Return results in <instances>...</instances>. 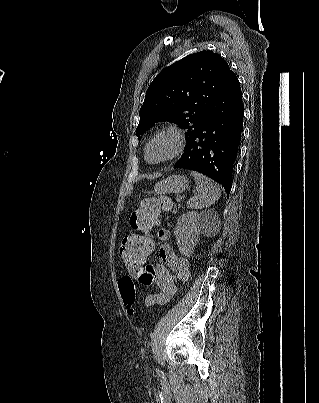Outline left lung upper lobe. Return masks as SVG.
<instances>
[{"label":"left lung upper lobe","mask_w":319,"mask_h":403,"mask_svg":"<svg viewBox=\"0 0 319 403\" xmlns=\"http://www.w3.org/2000/svg\"><path fill=\"white\" fill-rule=\"evenodd\" d=\"M231 70L220 55L201 51L159 73L147 89L136 135L156 122L170 121L187 129V145Z\"/></svg>","instance_id":"5c2ea615"}]
</instances>
